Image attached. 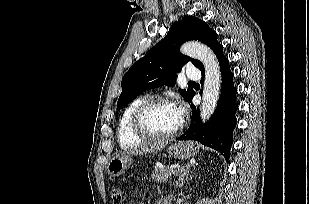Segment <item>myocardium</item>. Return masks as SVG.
<instances>
[{"label": "myocardium", "instance_id": "1", "mask_svg": "<svg viewBox=\"0 0 309 204\" xmlns=\"http://www.w3.org/2000/svg\"><path fill=\"white\" fill-rule=\"evenodd\" d=\"M161 105L175 106V104L167 98H151L142 102L135 109L131 119V128L137 136L146 140H165L174 137L180 132L184 124L183 119H181L179 125L175 129L168 133L156 134L147 128L144 122L145 115L150 109Z\"/></svg>", "mask_w": 309, "mask_h": 204}]
</instances>
